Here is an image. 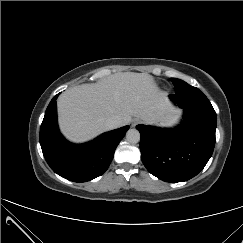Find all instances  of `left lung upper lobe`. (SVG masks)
Segmentation results:
<instances>
[{
    "label": "left lung upper lobe",
    "mask_w": 243,
    "mask_h": 243,
    "mask_svg": "<svg viewBox=\"0 0 243 243\" xmlns=\"http://www.w3.org/2000/svg\"><path fill=\"white\" fill-rule=\"evenodd\" d=\"M171 80L175 86V91L184 89L186 86L189 85L186 82H184L180 79H177V78H172ZM198 107L205 108V109H213L210 101L207 99V97L203 93H202V101L199 103Z\"/></svg>",
    "instance_id": "left-lung-upper-lobe-1"
}]
</instances>
